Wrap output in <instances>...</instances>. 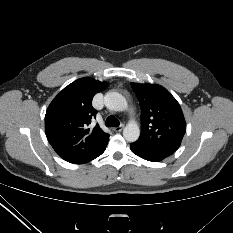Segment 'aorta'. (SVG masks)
Here are the masks:
<instances>
[{
	"label": "aorta",
	"mask_w": 233,
	"mask_h": 233,
	"mask_svg": "<svg viewBox=\"0 0 233 233\" xmlns=\"http://www.w3.org/2000/svg\"><path fill=\"white\" fill-rule=\"evenodd\" d=\"M105 106L114 111L127 109L128 104L123 95L118 92H107L104 97ZM123 136L128 142H135L140 136V129L135 121H130L123 130Z\"/></svg>",
	"instance_id": "obj_1"
}]
</instances>
